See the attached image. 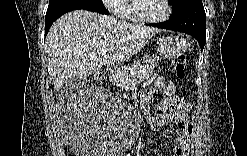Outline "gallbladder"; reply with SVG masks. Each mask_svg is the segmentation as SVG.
Segmentation results:
<instances>
[{
    "label": "gallbladder",
    "mask_w": 247,
    "mask_h": 156,
    "mask_svg": "<svg viewBox=\"0 0 247 156\" xmlns=\"http://www.w3.org/2000/svg\"><path fill=\"white\" fill-rule=\"evenodd\" d=\"M85 83V79L84 78H80L78 76H72L65 84H64V92L68 93L69 91H71L74 87L75 84H77V86H81Z\"/></svg>",
    "instance_id": "gallbladder-1"
}]
</instances>
